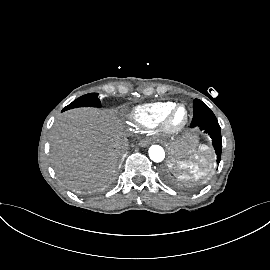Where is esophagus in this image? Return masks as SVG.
<instances>
[{
  "label": "esophagus",
  "mask_w": 270,
  "mask_h": 270,
  "mask_svg": "<svg viewBox=\"0 0 270 270\" xmlns=\"http://www.w3.org/2000/svg\"><path fill=\"white\" fill-rule=\"evenodd\" d=\"M151 144V141L150 140H142L140 141L139 145L142 146V147H147Z\"/></svg>",
  "instance_id": "1"
}]
</instances>
